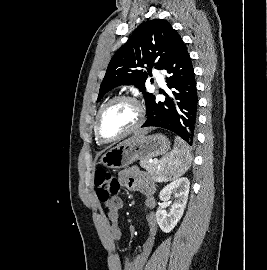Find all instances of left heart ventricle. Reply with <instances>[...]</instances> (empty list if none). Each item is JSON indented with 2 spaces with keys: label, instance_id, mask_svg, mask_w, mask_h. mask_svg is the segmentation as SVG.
<instances>
[{
  "label": "left heart ventricle",
  "instance_id": "1",
  "mask_svg": "<svg viewBox=\"0 0 267 270\" xmlns=\"http://www.w3.org/2000/svg\"><path fill=\"white\" fill-rule=\"evenodd\" d=\"M138 120L134 104L117 102L105 110L101 117L100 129L104 137L114 138L132 128Z\"/></svg>",
  "mask_w": 267,
  "mask_h": 270
}]
</instances>
